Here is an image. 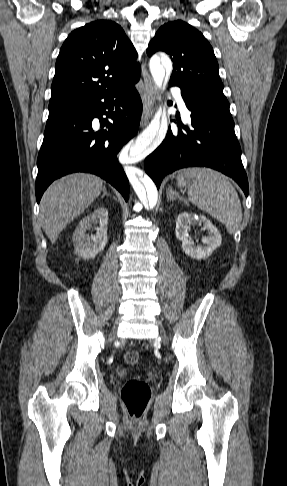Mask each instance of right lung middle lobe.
I'll return each instance as SVG.
<instances>
[{
	"label": "right lung middle lobe",
	"mask_w": 287,
	"mask_h": 486,
	"mask_svg": "<svg viewBox=\"0 0 287 486\" xmlns=\"http://www.w3.org/2000/svg\"><path fill=\"white\" fill-rule=\"evenodd\" d=\"M69 110H71V109H69ZM69 110L49 111V117H53V116L62 114V113L66 112V111H69Z\"/></svg>",
	"instance_id": "obj_1"
}]
</instances>
